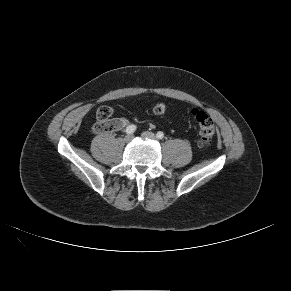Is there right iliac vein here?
Returning <instances> with one entry per match:
<instances>
[{
	"label": "right iliac vein",
	"mask_w": 291,
	"mask_h": 291,
	"mask_svg": "<svg viewBox=\"0 0 291 291\" xmlns=\"http://www.w3.org/2000/svg\"><path fill=\"white\" fill-rule=\"evenodd\" d=\"M132 139H133V136H132V135H127V136L124 138V141H125L126 143H129V142L132 141Z\"/></svg>",
	"instance_id": "1"
}]
</instances>
